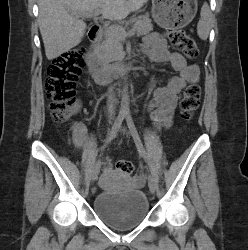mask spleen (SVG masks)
Wrapping results in <instances>:
<instances>
[{
	"instance_id": "obj_1",
	"label": "spleen",
	"mask_w": 248,
	"mask_h": 250,
	"mask_svg": "<svg viewBox=\"0 0 248 250\" xmlns=\"http://www.w3.org/2000/svg\"><path fill=\"white\" fill-rule=\"evenodd\" d=\"M200 20L197 25V34L200 39L206 40L209 36L212 13L207 3H204L201 8Z\"/></svg>"
}]
</instances>
